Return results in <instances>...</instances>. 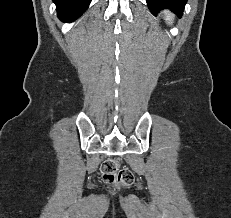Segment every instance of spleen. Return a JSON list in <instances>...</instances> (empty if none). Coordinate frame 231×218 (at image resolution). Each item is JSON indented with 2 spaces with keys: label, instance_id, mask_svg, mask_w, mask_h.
Here are the masks:
<instances>
[{
  "label": "spleen",
  "instance_id": "1",
  "mask_svg": "<svg viewBox=\"0 0 231 218\" xmlns=\"http://www.w3.org/2000/svg\"><path fill=\"white\" fill-rule=\"evenodd\" d=\"M166 21L168 23L172 22V14L170 12H166Z\"/></svg>",
  "mask_w": 231,
  "mask_h": 218
}]
</instances>
